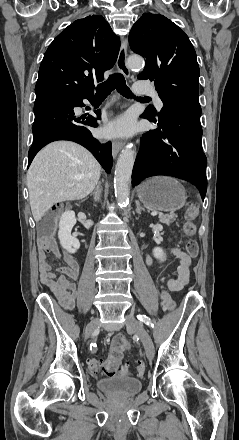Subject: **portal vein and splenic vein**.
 <instances>
[{
	"label": "portal vein and splenic vein",
	"instance_id": "18ae733b",
	"mask_svg": "<svg viewBox=\"0 0 239 440\" xmlns=\"http://www.w3.org/2000/svg\"><path fill=\"white\" fill-rule=\"evenodd\" d=\"M151 214H152V215H157L158 213H157V212H152Z\"/></svg>",
	"mask_w": 239,
	"mask_h": 440
}]
</instances>
